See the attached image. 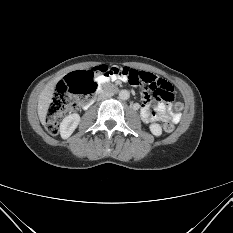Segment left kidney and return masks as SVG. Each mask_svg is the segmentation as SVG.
<instances>
[{
    "label": "left kidney",
    "mask_w": 233,
    "mask_h": 233,
    "mask_svg": "<svg viewBox=\"0 0 233 233\" xmlns=\"http://www.w3.org/2000/svg\"><path fill=\"white\" fill-rule=\"evenodd\" d=\"M150 131L153 135L155 136H160L162 134V128L159 124L157 123H152L150 126Z\"/></svg>",
    "instance_id": "obj_1"
}]
</instances>
